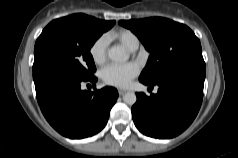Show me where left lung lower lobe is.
Instances as JSON below:
<instances>
[{"instance_id":"obj_1","label":"left lung lower lobe","mask_w":238,"mask_h":158,"mask_svg":"<svg viewBox=\"0 0 238 158\" xmlns=\"http://www.w3.org/2000/svg\"><path fill=\"white\" fill-rule=\"evenodd\" d=\"M205 73V66L185 67L158 80L154 84L159 86L157 94L148 97L136 93L132 117L138 130L159 139L172 138L183 132L200 109Z\"/></svg>"}]
</instances>
